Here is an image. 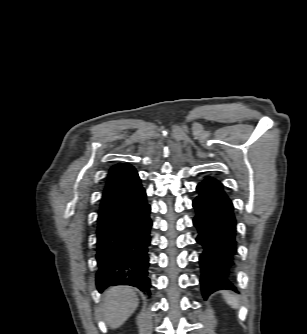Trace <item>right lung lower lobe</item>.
Wrapping results in <instances>:
<instances>
[{"label":"right lung lower lobe","mask_w":307,"mask_h":334,"mask_svg":"<svg viewBox=\"0 0 307 334\" xmlns=\"http://www.w3.org/2000/svg\"><path fill=\"white\" fill-rule=\"evenodd\" d=\"M149 213L138 174L103 194L96 244L99 291L114 285H130L149 293Z\"/></svg>","instance_id":"98d812e1"}]
</instances>
